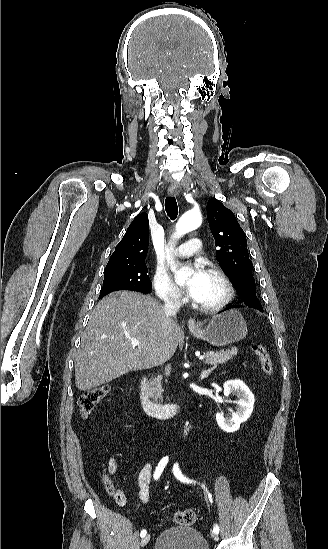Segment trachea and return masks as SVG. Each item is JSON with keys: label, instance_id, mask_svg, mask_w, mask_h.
Returning <instances> with one entry per match:
<instances>
[{"label": "trachea", "instance_id": "3493384b", "mask_svg": "<svg viewBox=\"0 0 328 549\" xmlns=\"http://www.w3.org/2000/svg\"><path fill=\"white\" fill-rule=\"evenodd\" d=\"M165 210L171 220H175L178 215V206L175 197H166Z\"/></svg>", "mask_w": 328, "mask_h": 549}]
</instances>
